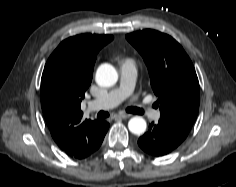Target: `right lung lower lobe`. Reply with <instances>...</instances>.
Masks as SVG:
<instances>
[{
    "mask_svg": "<svg viewBox=\"0 0 236 187\" xmlns=\"http://www.w3.org/2000/svg\"><path fill=\"white\" fill-rule=\"evenodd\" d=\"M108 128H109V124H108L106 121H103V123H102V128H101V133H100V137H99V139L97 140V143L95 144V146H94V148H93L91 154H92L93 152H95V151L100 147V145H101V143H102V141H103V139H104V136H105V134H106ZM91 154H90V155H91Z\"/></svg>",
    "mask_w": 236,
    "mask_h": 187,
    "instance_id": "1",
    "label": "right lung lower lobe"
}]
</instances>
